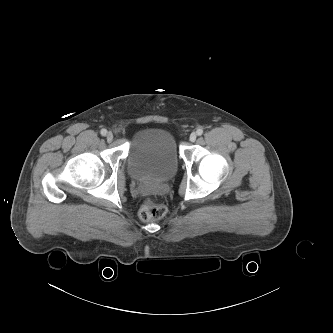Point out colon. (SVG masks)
Instances as JSON below:
<instances>
[{"instance_id":"colon-1","label":"colon","mask_w":333,"mask_h":333,"mask_svg":"<svg viewBox=\"0 0 333 333\" xmlns=\"http://www.w3.org/2000/svg\"><path fill=\"white\" fill-rule=\"evenodd\" d=\"M166 211V206L163 203L149 198L142 204L139 216L144 221H155L163 218Z\"/></svg>"}]
</instances>
